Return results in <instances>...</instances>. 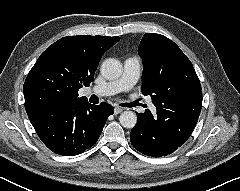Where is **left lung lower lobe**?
Masks as SVG:
<instances>
[{
	"label": "left lung lower lobe",
	"instance_id": "0a47b994",
	"mask_svg": "<svg viewBox=\"0 0 240 191\" xmlns=\"http://www.w3.org/2000/svg\"><path fill=\"white\" fill-rule=\"evenodd\" d=\"M200 111L199 105L184 101L173 110L157 111L156 116L149 109L142 114L136 113L138 122L131 130V144L148 156L171 154L190 137Z\"/></svg>",
	"mask_w": 240,
	"mask_h": 191
}]
</instances>
